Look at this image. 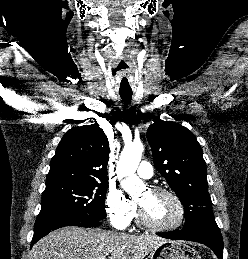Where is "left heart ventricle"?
I'll use <instances>...</instances> for the list:
<instances>
[{
	"mask_svg": "<svg viewBox=\"0 0 248 259\" xmlns=\"http://www.w3.org/2000/svg\"><path fill=\"white\" fill-rule=\"evenodd\" d=\"M147 219L159 226H168L176 222L179 211L171 197L163 193L146 190L137 200Z\"/></svg>",
	"mask_w": 248,
	"mask_h": 259,
	"instance_id": "obj_1",
	"label": "left heart ventricle"
}]
</instances>
